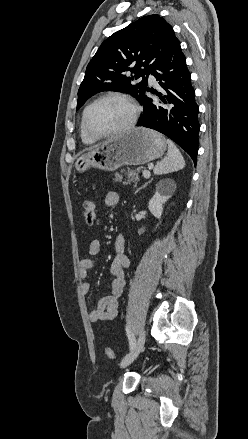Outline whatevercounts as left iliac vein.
<instances>
[{
	"instance_id": "1",
	"label": "left iliac vein",
	"mask_w": 248,
	"mask_h": 439,
	"mask_svg": "<svg viewBox=\"0 0 248 439\" xmlns=\"http://www.w3.org/2000/svg\"><path fill=\"white\" fill-rule=\"evenodd\" d=\"M145 330L142 329L139 333L138 339L134 345V347L130 350L128 354L121 360L120 366L122 368L128 367L139 355L141 350L143 349L145 342Z\"/></svg>"
}]
</instances>
